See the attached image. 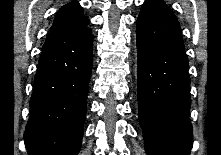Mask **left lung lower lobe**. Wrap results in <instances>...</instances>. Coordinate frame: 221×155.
Wrapping results in <instances>:
<instances>
[{
  "instance_id": "0a47b994",
  "label": "left lung lower lobe",
  "mask_w": 221,
  "mask_h": 155,
  "mask_svg": "<svg viewBox=\"0 0 221 155\" xmlns=\"http://www.w3.org/2000/svg\"><path fill=\"white\" fill-rule=\"evenodd\" d=\"M139 121L148 155H189L190 77L173 12L144 3L137 19Z\"/></svg>"
}]
</instances>
